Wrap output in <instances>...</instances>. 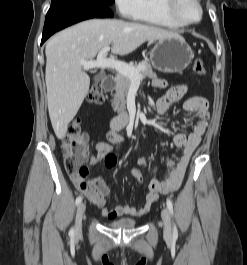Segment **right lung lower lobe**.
<instances>
[{
    "mask_svg": "<svg viewBox=\"0 0 247 265\" xmlns=\"http://www.w3.org/2000/svg\"><path fill=\"white\" fill-rule=\"evenodd\" d=\"M106 5L70 3L51 7L46 15L41 44L55 32L90 18L112 17Z\"/></svg>",
    "mask_w": 247,
    "mask_h": 265,
    "instance_id": "obj_1",
    "label": "right lung lower lobe"
}]
</instances>
